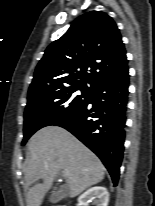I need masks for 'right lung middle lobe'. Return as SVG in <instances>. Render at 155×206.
Here are the masks:
<instances>
[{"label":"right lung middle lobe","instance_id":"1","mask_svg":"<svg viewBox=\"0 0 155 206\" xmlns=\"http://www.w3.org/2000/svg\"><path fill=\"white\" fill-rule=\"evenodd\" d=\"M77 90L81 95H76ZM93 88L85 85H68L48 89L28 96L24 114L22 145L37 130L54 125L69 116L91 99Z\"/></svg>","mask_w":155,"mask_h":206}]
</instances>
